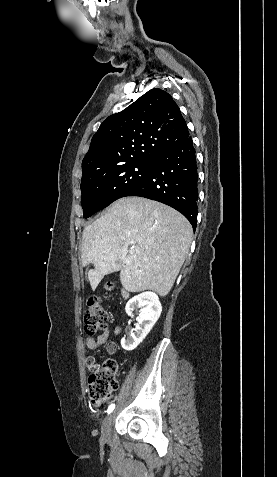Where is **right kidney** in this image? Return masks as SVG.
<instances>
[{
	"mask_svg": "<svg viewBox=\"0 0 277 477\" xmlns=\"http://www.w3.org/2000/svg\"><path fill=\"white\" fill-rule=\"evenodd\" d=\"M137 309L139 315L135 332H131L130 337L121 339V346L127 351L134 350L143 341L162 312L159 298L153 292H143L127 302L125 311L128 316H132L133 311Z\"/></svg>",
	"mask_w": 277,
	"mask_h": 477,
	"instance_id": "right-kidney-1",
	"label": "right kidney"
}]
</instances>
